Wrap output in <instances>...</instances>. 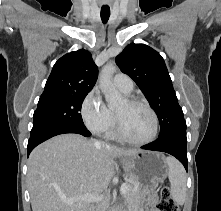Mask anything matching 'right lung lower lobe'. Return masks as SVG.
<instances>
[{
	"instance_id": "98d812e1",
	"label": "right lung lower lobe",
	"mask_w": 221,
	"mask_h": 211,
	"mask_svg": "<svg viewBox=\"0 0 221 211\" xmlns=\"http://www.w3.org/2000/svg\"><path fill=\"white\" fill-rule=\"evenodd\" d=\"M65 133H76V134H81L85 137H89L91 135V133L86 129V127L81 128L70 125L45 127L31 133L27 146V155L29 156L30 152L40 143L48 140L53 136Z\"/></svg>"
}]
</instances>
